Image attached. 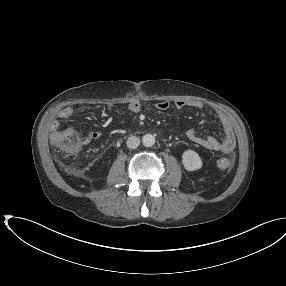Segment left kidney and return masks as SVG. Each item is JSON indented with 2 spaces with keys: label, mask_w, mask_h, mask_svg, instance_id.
I'll use <instances>...</instances> for the list:
<instances>
[{
  "label": "left kidney",
  "mask_w": 286,
  "mask_h": 286,
  "mask_svg": "<svg viewBox=\"0 0 286 286\" xmlns=\"http://www.w3.org/2000/svg\"><path fill=\"white\" fill-rule=\"evenodd\" d=\"M182 163L187 171H195L202 167V160L193 150H186L182 155Z\"/></svg>",
  "instance_id": "obj_1"
}]
</instances>
